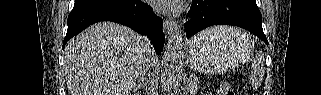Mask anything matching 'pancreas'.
I'll return each mask as SVG.
<instances>
[{
  "instance_id": "1",
  "label": "pancreas",
  "mask_w": 321,
  "mask_h": 95,
  "mask_svg": "<svg viewBox=\"0 0 321 95\" xmlns=\"http://www.w3.org/2000/svg\"><path fill=\"white\" fill-rule=\"evenodd\" d=\"M187 85V91L191 93V95H195L199 90V81L195 76H190L189 78L184 80Z\"/></svg>"
}]
</instances>
